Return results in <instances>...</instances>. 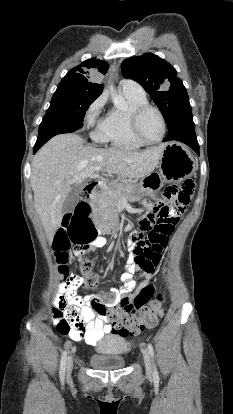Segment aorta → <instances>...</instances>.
<instances>
[{
    "instance_id": "762f6f07",
    "label": "aorta",
    "mask_w": 233,
    "mask_h": 414,
    "mask_svg": "<svg viewBox=\"0 0 233 414\" xmlns=\"http://www.w3.org/2000/svg\"><path fill=\"white\" fill-rule=\"evenodd\" d=\"M108 89H109V92H110V95H111V98H112V101H113L114 105H115L116 107H121V106H123V105L125 104V99H124V97L122 96V94H120V93H117V92H116V89H115V87H114V84H113V83H111V84L108 86Z\"/></svg>"
}]
</instances>
